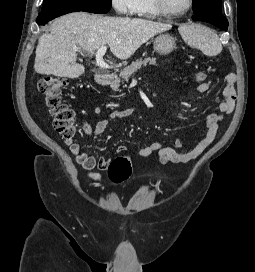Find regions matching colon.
<instances>
[{"label": "colon", "instance_id": "1", "mask_svg": "<svg viewBox=\"0 0 255 272\" xmlns=\"http://www.w3.org/2000/svg\"><path fill=\"white\" fill-rule=\"evenodd\" d=\"M207 79L205 71L195 74L197 83H203ZM67 85L66 79L58 76H46L39 81L38 88L44 102L50 110L53 118V128L65 140H71L76 134L74 112L61 101V95ZM132 170L131 160L127 157H117L108 167V175L112 182L121 183L126 180Z\"/></svg>", "mask_w": 255, "mask_h": 272}]
</instances>
